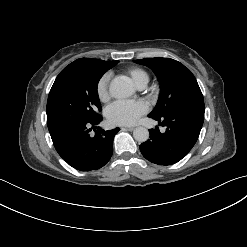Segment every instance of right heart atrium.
Segmentation results:
<instances>
[{
	"label": "right heart atrium",
	"instance_id": "1",
	"mask_svg": "<svg viewBox=\"0 0 247 247\" xmlns=\"http://www.w3.org/2000/svg\"><path fill=\"white\" fill-rule=\"evenodd\" d=\"M108 82H109V76L104 75L99 79L96 86L97 97L102 103H107L110 100Z\"/></svg>",
	"mask_w": 247,
	"mask_h": 247
}]
</instances>
